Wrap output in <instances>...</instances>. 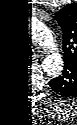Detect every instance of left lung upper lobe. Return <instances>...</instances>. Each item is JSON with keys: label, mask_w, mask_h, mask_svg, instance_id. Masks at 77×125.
Wrapping results in <instances>:
<instances>
[{"label": "left lung upper lobe", "mask_w": 77, "mask_h": 125, "mask_svg": "<svg viewBox=\"0 0 77 125\" xmlns=\"http://www.w3.org/2000/svg\"><path fill=\"white\" fill-rule=\"evenodd\" d=\"M57 19L63 30V44L66 57L65 69L67 70L63 72V75H66L68 73L69 62L75 54L77 44V17L74 5L69 4L60 10L57 14Z\"/></svg>", "instance_id": "1"}]
</instances>
